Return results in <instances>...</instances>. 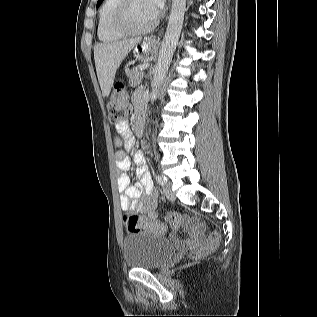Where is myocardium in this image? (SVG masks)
I'll return each instance as SVG.
<instances>
[{
	"mask_svg": "<svg viewBox=\"0 0 317 317\" xmlns=\"http://www.w3.org/2000/svg\"><path fill=\"white\" fill-rule=\"evenodd\" d=\"M132 0H119L113 16L114 29L123 35H143L152 31L158 24L159 16L143 28H134L128 23V11Z\"/></svg>",
	"mask_w": 317,
	"mask_h": 317,
	"instance_id": "f54148a6",
	"label": "myocardium"
}]
</instances>
